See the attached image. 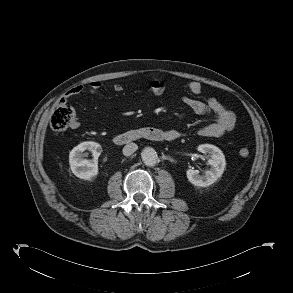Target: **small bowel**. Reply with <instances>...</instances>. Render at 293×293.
<instances>
[{
  "label": "small bowel",
  "instance_id": "small-bowel-1",
  "mask_svg": "<svg viewBox=\"0 0 293 293\" xmlns=\"http://www.w3.org/2000/svg\"><path fill=\"white\" fill-rule=\"evenodd\" d=\"M103 84L100 81H92L88 85V90L91 93L101 90ZM85 87L82 85L75 86L66 92L64 98L61 100L66 102L67 99L74 97L84 91ZM112 89L115 92L123 91L124 87L121 84H113ZM166 86L164 83L158 80H154L150 83V91L152 94L159 96L165 92ZM190 93L193 96H198L202 92V87L198 82H191L188 86ZM183 103L190 110L199 115H212L214 116V122L199 127L197 133L207 137H223L231 132L236 126L235 114L220 103L216 98H208L206 102H202L194 97H184ZM73 127H77V123H73ZM173 139H176L182 135L178 130L171 129L166 131Z\"/></svg>",
  "mask_w": 293,
  "mask_h": 293
}]
</instances>
